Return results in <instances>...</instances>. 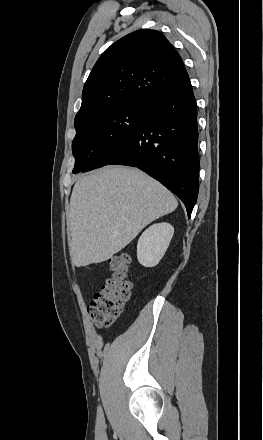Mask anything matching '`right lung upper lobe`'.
<instances>
[{
    "instance_id": "cb5924a9",
    "label": "right lung upper lobe",
    "mask_w": 263,
    "mask_h": 440,
    "mask_svg": "<svg viewBox=\"0 0 263 440\" xmlns=\"http://www.w3.org/2000/svg\"><path fill=\"white\" fill-rule=\"evenodd\" d=\"M188 78L180 55L156 30H139L112 44L94 65L74 126L107 109L150 99Z\"/></svg>"
}]
</instances>
